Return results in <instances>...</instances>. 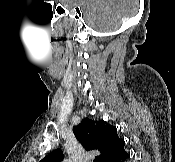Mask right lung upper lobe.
Listing matches in <instances>:
<instances>
[{
  "label": "right lung upper lobe",
  "instance_id": "cb5924a9",
  "mask_svg": "<svg viewBox=\"0 0 175 162\" xmlns=\"http://www.w3.org/2000/svg\"><path fill=\"white\" fill-rule=\"evenodd\" d=\"M76 139L89 150H98L100 155L94 162H110L117 154L124 150L125 142L117 135V129L105 121L83 119L73 127ZM63 152L56 149L45 156L40 162H60Z\"/></svg>",
  "mask_w": 175,
  "mask_h": 162
}]
</instances>
